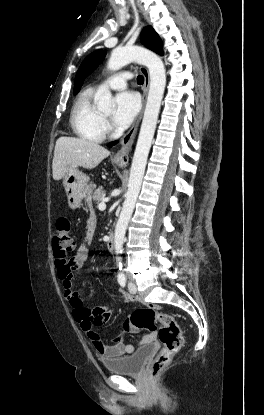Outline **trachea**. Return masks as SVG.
<instances>
[{"label": "trachea", "instance_id": "3493384b", "mask_svg": "<svg viewBox=\"0 0 264 415\" xmlns=\"http://www.w3.org/2000/svg\"><path fill=\"white\" fill-rule=\"evenodd\" d=\"M137 83L139 85H142L144 83V77L141 76V75H138V77H137Z\"/></svg>", "mask_w": 264, "mask_h": 415}]
</instances>
